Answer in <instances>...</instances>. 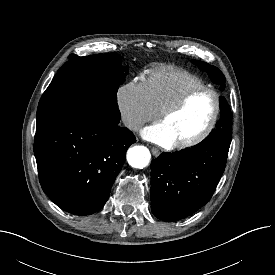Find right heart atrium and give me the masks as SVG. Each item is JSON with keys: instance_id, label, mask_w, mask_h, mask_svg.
<instances>
[{"instance_id": "1", "label": "right heart atrium", "mask_w": 275, "mask_h": 275, "mask_svg": "<svg viewBox=\"0 0 275 275\" xmlns=\"http://www.w3.org/2000/svg\"><path fill=\"white\" fill-rule=\"evenodd\" d=\"M117 105L123 123L132 130L154 119L157 114L150 103L143 83L137 81L128 82L119 88Z\"/></svg>"}]
</instances>
